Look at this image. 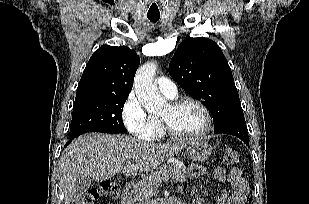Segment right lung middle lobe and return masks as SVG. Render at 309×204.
Masks as SVG:
<instances>
[{
    "label": "right lung middle lobe",
    "instance_id": "1",
    "mask_svg": "<svg viewBox=\"0 0 309 204\" xmlns=\"http://www.w3.org/2000/svg\"><path fill=\"white\" fill-rule=\"evenodd\" d=\"M128 95L97 97L74 103L70 138L86 132L127 133L122 109Z\"/></svg>",
    "mask_w": 309,
    "mask_h": 204
}]
</instances>
